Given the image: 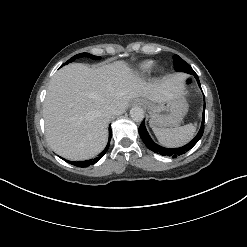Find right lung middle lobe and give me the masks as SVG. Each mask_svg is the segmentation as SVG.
Here are the masks:
<instances>
[{"label":"right lung middle lobe","mask_w":247,"mask_h":247,"mask_svg":"<svg viewBox=\"0 0 247 247\" xmlns=\"http://www.w3.org/2000/svg\"><path fill=\"white\" fill-rule=\"evenodd\" d=\"M84 56L90 57V58H92V59H100V57L94 56V55H90L89 53H80V54H77V55L73 56L72 58H70V59L66 62V64L72 62L73 60H75V59H77V58H79V57H84ZM62 66H63V65H62Z\"/></svg>","instance_id":"right-lung-middle-lobe-1"}]
</instances>
